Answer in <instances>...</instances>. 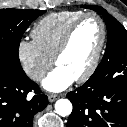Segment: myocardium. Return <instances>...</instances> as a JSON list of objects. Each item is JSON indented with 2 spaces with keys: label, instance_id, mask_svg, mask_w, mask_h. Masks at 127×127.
Here are the masks:
<instances>
[{
  "label": "myocardium",
  "instance_id": "f54148a6",
  "mask_svg": "<svg viewBox=\"0 0 127 127\" xmlns=\"http://www.w3.org/2000/svg\"><path fill=\"white\" fill-rule=\"evenodd\" d=\"M88 18L96 19L99 22L100 27H101V40H100L98 49L93 57V60L90 63V65L88 66V68L80 76L75 78V80L77 82H84V81L88 80L93 75V73L96 71V69L100 63V60H101V57H102V54H103V51L105 48V44H106V38H107V28H106V24H105L104 20L99 15L92 13V12L82 14L67 29V31L65 32L59 46L57 47V49L54 53V56H53V62L55 65H57L58 60L67 51L76 29L84 20H86Z\"/></svg>",
  "mask_w": 127,
  "mask_h": 127
}]
</instances>
